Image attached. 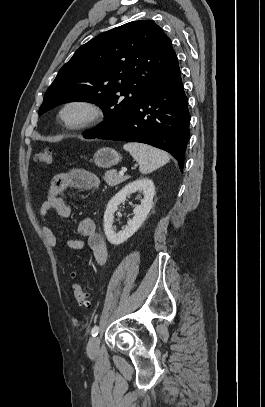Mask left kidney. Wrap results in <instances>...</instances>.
Instances as JSON below:
<instances>
[{
    "instance_id": "left-kidney-1",
    "label": "left kidney",
    "mask_w": 265,
    "mask_h": 407,
    "mask_svg": "<svg viewBox=\"0 0 265 407\" xmlns=\"http://www.w3.org/2000/svg\"><path fill=\"white\" fill-rule=\"evenodd\" d=\"M137 191H141L144 195L141 204L134 208L135 215L128 221L127 226L116 233L113 230L114 213L118 209V205L124 202L129 194ZM154 194L155 186L153 181L148 178H140L127 184L111 198L104 213V232L111 244L119 245L125 242L140 228L153 206Z\"/></svg>"
}]
</instances>
